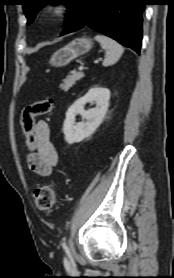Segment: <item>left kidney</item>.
I'll use <instances>...</instances> for the list:
<instances>
[{"mask_svg":"<svg viewBox=\"0 0 174 278\" xmlns=\"http://www.w3.org/2000/svg\"><path fill=\"white\" fill-rule=\"evenodd\" d=\"M109 99V89L94 87L69 107L63 124V133L68 144L81 142L95 132L106 115ZM92 101L95 102L96 106L84 110V106ZM77 114H80L86 121L76 124L75 117Z\"/></svg>","mask_w":174,"mask_h":278,"instance_id":"5707ae66","label":"left kidney"}]
</instances>
